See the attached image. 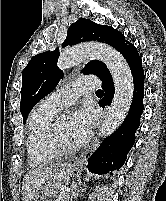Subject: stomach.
<instances>
[{"label": "stomach", "mask_w": 166, "mask_h": 201, "mask_svg": "<svg viewBox=\"0 0 166 201\" xmlns=\"http://www.w3.org/2000/svg\"><path fill=\"white\" fill-rule=\"evenodd\" d=\"M75 170L76 168L71 165L60 168L55 175L44 184L41 190L40 200L38 201H46L48 197L55 195L61 184H67L70 181Z\"/></svg>", "instance_id": "obj_1"}]
</instances>
